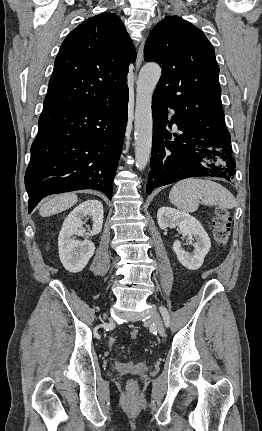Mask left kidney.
<instances>
[{
    "label": "left kidney",
    "mask_w": 262,
    "mask_h": 431,
    "mask_svg": "<svg viewBox=\"0 0 262 431\" xmlns=\"http://www.w3.org/2000/svg\"><path fill=\"white\" fill-rule=\"evenodd\" d=\"M157 220L161 229L178 226L182 235L187 236L194 247L193 252H186L178 240L173 243V250L184 267L189 270L199 269L211 248L210 238L200 222L190 214L171 207H161L157 212Z\"/></svg>",
    "instance_id": "obj_1"
}]
</instances>
